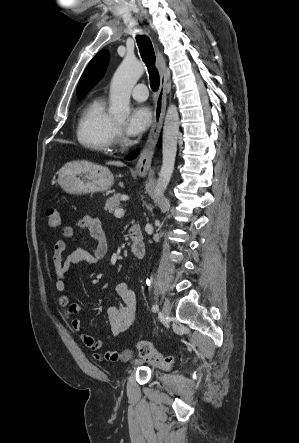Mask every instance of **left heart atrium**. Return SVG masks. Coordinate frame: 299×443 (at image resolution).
Instances as JSON below:
<instances>
[{
    "mask_svg": "<svg viewBox=\"0 0 299 443\" xmlns=\"http://www.w3.org/2000/svg\"><path fill=\"white\" fill-rule=\"evenodd\" d=\"M152 122V113L149 107L144 105L132 109L126 123V133L129 136H138L144 133Z\"/></svg>",
    "mask_w": 299,
    "mask_h": 443,
    "instance_id": "39dd6f15",
    "label": "left heart atrium"
}]
</instances>
